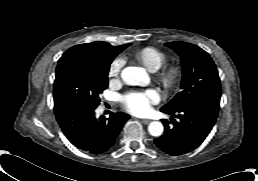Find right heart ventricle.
Listing matches in <instances>:
<instances>
[{"mask_svg": "<svg viewBox=\"0 0 258 181\" xmlns=\"http://www.w3.org/2000/svg\"><path fill=\"white\" fill-rule=\"evenodd\" d=\"M135 58L149 71H157L166 61V54L152 46H147L135 54Z\"/></svg>", "mask_w": 258, "mask_h": 181, "instance_id": "right-heart-ventricle-1", "label": "right heart ventricle"}]
</instances>
